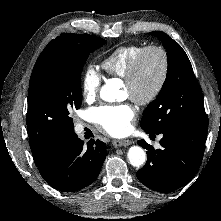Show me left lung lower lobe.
<instances>
[{"label": "left lung lower lobe", "instance_id": "1", "mask_svg": "<svg viewBox=\"0 0 221 221\" xmlns=\"http://www.w3.org/2000/svg\"><path fill=\"white\" fill-rule=\"evenodd\" d=\"M207 126L176 124L163 131L161 149L154 150L143 139L138 144L147 151V162L137 172L145 186L161 193L186 185L196 174L203 158Z\"/></svg>", "mask_w": 221, "mask_h": 221}]
</instances>
